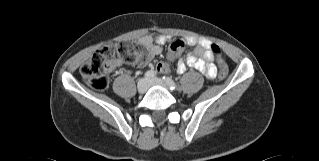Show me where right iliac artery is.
Listing matches in <instances>:
<instances>
[{"label":"right iliac artery","instance_id":"1","mask_svg":"<svg viewBox=\"0 0 319 161\" xmlns=\"http://www.w3.org/2000/svg\"><path fill=\"white\" fill-rule=\"evenodd\" d=\"M144 77L146 79H154L156 77V72L153 70H149V71L145 72Z\"/></svg>","mask_w":319,"mask_h":161}]
</instances>
